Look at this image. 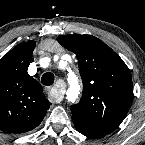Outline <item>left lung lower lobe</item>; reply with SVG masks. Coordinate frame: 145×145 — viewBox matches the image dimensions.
<instances>
[{
    "instance_id": "obj_1",
    "label": "left lung lower lobe",
    "mask_w": 145,
    "mask_h": 145,
    "mask_svg": "<svg viewBox=\"0 0 145 145\" xmlns=\"http://www.w3.org/2000/svg\"><path fill=\"white\" fill-rule=\"evenodd\" d=\"M75 127L77 128V130L81 134H83V135H85V136H87L89 138L97 139V138H101V137L105 136V134H102V133H99V132H95V131H91L89 129L79 127L77 125H75Z\"/></svg>"
}]
</instances>
